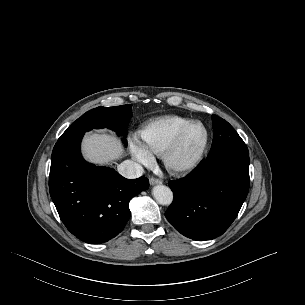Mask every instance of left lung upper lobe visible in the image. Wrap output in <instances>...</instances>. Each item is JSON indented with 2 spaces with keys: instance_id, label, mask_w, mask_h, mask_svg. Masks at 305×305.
I'll return each instance as SVG.
<instances>
[{
  "instance_id": "left-lung-upper-lobe-1",
  "label": "left lung upper lobe",
  "mask_w": 305,
  "mask_h": 305,
  "mask_svg": "<svg viewBox=\"0 0 305 305\" xmlns=\"http://www.w3.org/2000/svg\"><path fill=\"white\" fill-rule=\"evenodd\" d=\"M213 143L207 157L217 156L228 151L248 152V148L238 133L224 119L213 115Z\"/></svg>"
}]
</instances>
